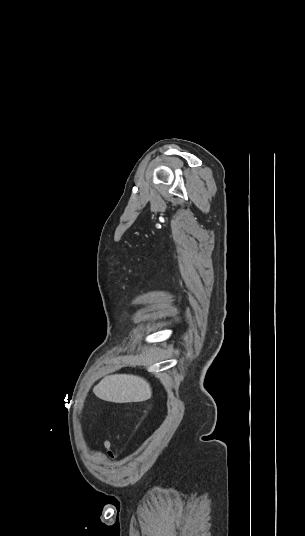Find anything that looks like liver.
<instances>
[{"label": "liver", "mask_w": 305, "mask_h": 536, "mask_svg": "<svg viewBox=\"0 0 305 536\" xmlns=\"http://www.w3.org/2000/svg\"><path fill=\"white\" fill-rule=\"evenodd\" d=\"M95 396L105 402L128 404V402H145L152 396L150 384L139 376L115 374L105 376L93 390Z\"/></svg>", "instance_id": "6515ba94"}]
</instances>
